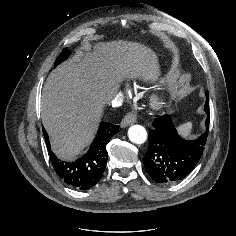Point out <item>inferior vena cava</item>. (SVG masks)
<instances>
[{
	"instance_id": "inferior-vena-cava-1",
	"label": "inferior vena cava",
	"mask_w": 236,
	"mask_h": 236,
	"mask_svg": "<svg viewBox=\"0 0 236 236\" xmlns=\"http://www.w3.org/2000/svg\"><path fill=\"white\" fill-rule=\"evenodd\" d=\"M124 101V96L121 92H119L111 101L113 107H119L122 105Z\"/></svg>"
}]
</instances>
